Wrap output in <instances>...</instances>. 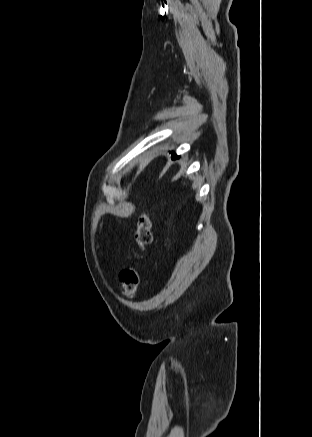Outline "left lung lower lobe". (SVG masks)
<instances>
[{
  "instance_id": "0a47b994",
  "label": "left lung lower lobe",
  "mask_w": 312,
  "mask_h": 437,
  "mask_svg": "<svg viewBox=\"0 0 312 437\" xmlns=\"http://www.w3.org/2000/svg\"><path fill=\"white\" fill-rule=\"evenodd\" d=\"M177 157L176 153H173V159H176Z\"/></svg>"
}]
</instances>
